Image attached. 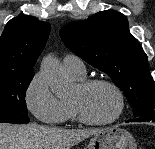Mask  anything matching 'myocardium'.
<instances>
[{
	"mask_svg": "<svg viewBox=\"0 0 155 149\" xmlns=\"http://www.w3.org/2000/svg\"><path fill=\"white\" fill-rule=\"evenodd\" d=\"M96 85L108 86L116 94L117 99H118V108H117V112L115 113V115L112 118H110L108 120H104V121L93 120L85 114V112L83 111V109L81 108V106L78 103H76L74 101H70V104H71V107L74 111V114H75L76 118L81 123H83L85 125L107 126V125L113 124L114 122L118 121L121 118V116L123 115V113L125 111L124 93L116 83H114L111 80L104 79V78L85 79V80H82L78 83V87L83 91L88 90V89H90Z\"/></svg>",
	"mask_w": 155,
	"mask_h": 149,
	"instance_id": "1",
	"label": "myocardium"
}]
</instances>
